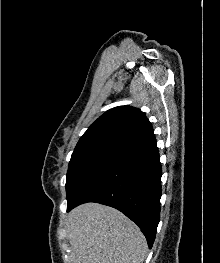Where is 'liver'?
Masks as SVG:
<instances>
[{
    "instance_id": "6515ba94",
    "label": "liver",
    "mask_w": 220,
    "mask_h": 263,
    "mask_svg": "<svg viewBox=\"0 0 220 263\" xmlns=\"http://www.w3.org/2000/svg\"><path fill=\"white\" fill-rule=\"evenodd\" d=\"M73 263H143L147 242L120 211L98 203L74 208L67 218Z\"/></svg>"
}]
</instances>
